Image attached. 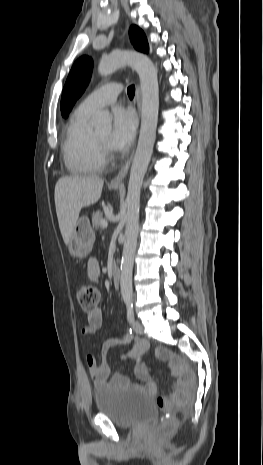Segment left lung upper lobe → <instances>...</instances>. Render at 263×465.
I'll list each match as a JSON object with an SVG mask.
<instances>
[{
	"mask_svg": "<svg viewBox=\"0 0 263 465\" xmlns=\"http://www.w3.org/2000/svg\"><path fill=\"white\" fill-rule=\"evenodd\" d=\"M130 40L134 48L140 52L148 53L149 45L144 32L137 26L129 29ZM92 59L88 56L80 57L71 68L61 97V113L67 117L76 100L82 95L91 78Z\"/></svg>",
	"mask_w": 263,
	"mask_h": 465,
	"instance_id": "5c2ea615",
	"label": "left lung upper lobe"
}]
</instances>
